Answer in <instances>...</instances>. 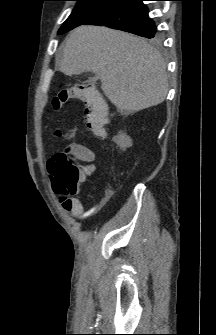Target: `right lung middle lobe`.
Returning a JSON list of instances; mask_svg holds the SVG:
<instances>
[{"label":"right lung middle lobe","mask_w":216,"mask_h":335,"mask_svg":"<svg viewBox=\"0 0 216 335\" xmlns=\"http://www.w3.org/2000/svg\"><path fill=\"white\" fill-rule=\"evenodd\" d=\"M77 1L76 7L71 15L59 29L58 34L66 33L73 28L84 24L86 21L112 5L117 0H74ZM158 40V37H154Z\"/></svg>","instance_id":"dd1d6c3e"}]
</instances>
